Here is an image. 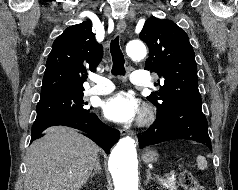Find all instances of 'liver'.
Listing matches in <instances>:
<instances>
[{
  "label": "liver",
  "mask_w": 238,
  "mask_h": 190,
  "mask_svg": "<svg viewBox=\"0 0 238 190\" xmlns=\"http://www.w3.org/2000/svg\"><path fill=\"white\" fill-rule=\"evenodd\" d=\"M99 147L75 129L53 126L27 152L24 190H79L87 182Z\"/></svg>",
  "instance_id": "6515ba94"
}]
</instances>
